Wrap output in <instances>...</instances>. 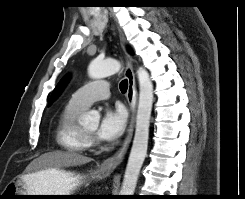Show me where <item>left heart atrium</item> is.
Wrapping results in <instances>:
<instances>
[{
  "label": "left heart atrium",
  "instance_id": "obj_1",
  "mask_svg": "<svg viewBox=\"0 0 245 199\" xmlns=\"http://www.w3.org/2000/svg\"><path fill=\"white\" fill-rule=\"evenodd\" d=\"M127 115L123 107L107 108L101 118L97 135L101 140L113 142L124 132Z\"/></svg>",
  "mask_w": 245,
  "mask_h": 199
}]
</instances>
